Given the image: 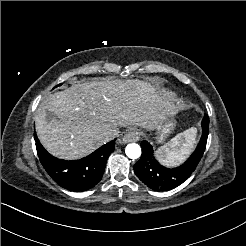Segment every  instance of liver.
Returning a JSON list of instances; mask_svg holds the SVG:
<instances>
[{
	"label": "liver",
	"instance_id": "obj_1",
	"mask_svg": "<svg viewBox=\"0 0 246 246\" xmlns=\"http://www.w3.org/2000/svg\"><path fill=\"white\" fill-rule=\"evenodd\" d=\"M159 102L154 87L138 80L77 83L54 94L37 111L36 132L52 155L79 159L111 140L112 129L152 127ZM47 112L54 117L48 120Z\"/></svg>",
	"mask_w": 246,
	"mask_h": 246
}]
</instances>
